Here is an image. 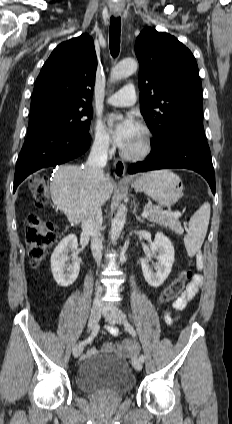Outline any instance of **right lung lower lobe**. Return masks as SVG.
Listing matches in <instances>:
<instances>
[{"instance_id":"obj_1","label":"right lung lower lobe","mask_w":232,"mask_h":424,"mask_svg":"<svg viewBox=\"0 0 232 424\" xmlns=\"http://www.w3.org/2000/svg\"><path fill=\"white\" fill-rule=\"evenodd\" d=\"M90 144L91 137L88 133L74 134L55 130L29 132L16 163L13 191L31 173L77 158Z\"/></svg>"}]
</instances>
